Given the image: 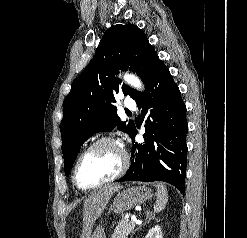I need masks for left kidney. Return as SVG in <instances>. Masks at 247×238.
<instances>
[{"mask_svg": "<svg viewBox=\"0 0 247 238\" xmlns=\"http://www.w3.org/2000/svg\"><path fill=\"white\" fill-rule=\"evenodd\" d=\"M145 238H163L161 227L156 225L155 227L151 228Z\"/></svg>", "mask_w": 247, "mask_h": 238, "instance_id": "5707ae66", "label": "left kidney"}]
</instances>
